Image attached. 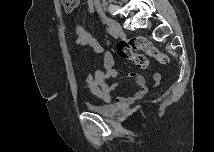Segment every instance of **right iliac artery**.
I'll list each match as a JSON object with an SVG mask.
<instances>
[{"label": "right iliac artery", "mask_w": 215, "mask_h": 152, "mask_svg": "<svg viewBox=\"0 0 215 152\" xmlns=\"http://www.w3.org/2000/svg\"><path fill=\"white\" fill-rule=\"evenodd\" d=\"M107 31H108V33H109L111 36L117 38V34H116L112 29L107 28Z\"/></svg>", "instance_id": "82829eb1"}]
</instances>
